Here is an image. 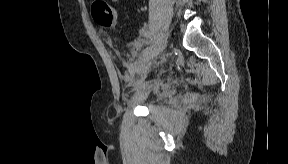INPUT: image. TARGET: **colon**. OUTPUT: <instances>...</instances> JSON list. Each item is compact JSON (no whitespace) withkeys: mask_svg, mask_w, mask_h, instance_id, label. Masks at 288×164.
<instances>
[{"mask_svg":"<svg viewBox=\"0 0 288 164\" xmlns=\"http://www.w3.org/2000/svg\"><path fill=\"white\" fill-rule=\"evenodd\" d=\"M94 19L103 28H115L118 25V12L103 2L95 3Z\"/></svg>","mask_w":288,"mask_h":164,"instance_id":"colon-1","label":"colon"}]
</instances>
